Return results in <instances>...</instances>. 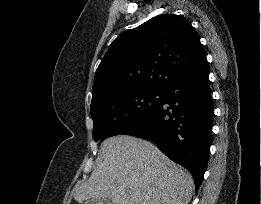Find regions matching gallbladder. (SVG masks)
<instances>
[{
	"mask_svg": "<svg viewBox=\"0 0 261 204\" xmlns=\"http://www.w3.org/2000/svg\"><path fill=\"white\" fill-rule=\"evenodd\" d=\"M84 204H111L109 199H88Z\"/></svg>",
	"mask_w": 261,
	"mask_h": 204,
	"instance_id": "1",
	"label": "gallbladder"
}]
</instances>
